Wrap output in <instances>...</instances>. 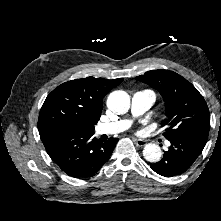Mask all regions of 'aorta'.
<instances>
[{"label":"aorta","instance_id":"obj_1","mask_svg":"<svg viewBox=\"0 0 221 221\" xmlns=\"http://www.w3.org/2000/svg\"><path fill=\"white\" fill-rule=\"evenodd\" d=\"M107 106L116 114H124L130 108V97L125 91H113L107 98ZM143 156L149 162H159L162 157L161 148L157 144L149 143L143 149Z\"/></svg>","mask_w":221,"mask_h":221}]
</instances>
